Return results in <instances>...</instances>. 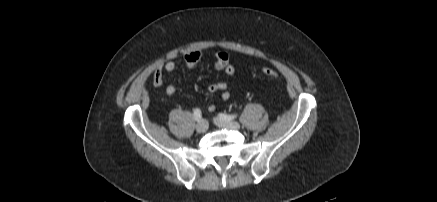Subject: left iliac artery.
I'll return each mask as SVG.
<instances>
[{"instance_id": "left-iliac-artery-1", "label": "left iliac artery", "mask_w": 437, "mask_h": 202, "mask_svg": "<svg viewBox=\"0 0 437 202\" xmlns=\"http://www.w3.org/2000/svg\"><path fill=\"white\" fill-rule=\"evenodd\" d=\"M236 116H237L236 114H223V113L219 114V118L225 121H231L234 118H236Z\"/></svg>"}]
</instances>
